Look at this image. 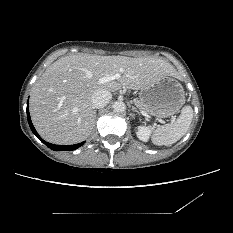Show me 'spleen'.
<instances>
[{
  "instance_id": "1",
  "label": "spleen",
  "mask_w": 233,
  "mask_h": 233,
  "mask_svg": "<svg viewBox=\"0 0 233 233\" xmlns=\"http://www.w3.org/2000/svg\"><path fill=\"white\" fill-rule=\"evenodd\" d=\"M193 118V109L191 106L182 108L177 120L157 128L152 136V142L155 145H172L180 140L188 131Z\"/></svg>"
}]
</instances>
